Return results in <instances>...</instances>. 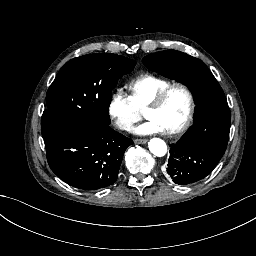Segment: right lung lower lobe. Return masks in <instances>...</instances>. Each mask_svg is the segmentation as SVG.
Here are the masks:
<instances>
[{"mask_svg":"<svg viewBox=\"0 0 256 256\" xmlns=\"http://www.w3.org/2000/svg\"><path fill=\"white\" fill-rule=\"evenodd\" d=\"M44 138L52 171L67 184L97 190L113 184L123 154L133 141L109 126L80 133L53 132Z\"/></svg>","mask_w":256,"mask_h":256,"instance_id":"98d812e1","label":"right lung lower lobe"}]
</instances>
